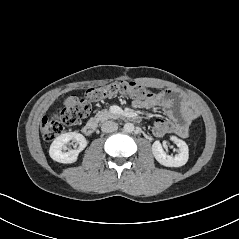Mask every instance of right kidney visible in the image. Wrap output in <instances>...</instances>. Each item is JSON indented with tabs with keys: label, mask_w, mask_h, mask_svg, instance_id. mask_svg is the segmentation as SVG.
Returning a JSON list of instances; mask_svg holds the SVG:
<instances>
[{
	"label": "right kidney",
	"mask_w": 239,
	"mask_h": 239,
	"mask_svg": "<svg viewBox=\"0 0 239 239\" xmlns=\"http://www.w3.org/2000/svg\"><path fill=\"white\" fill-rule=\"evenodd\" d=\"M71 140L75 141L79 145L78 149L63 152L62 150L67 149L66 144ZM86 146L87 141L82 134L76 132L64 133L52 142L49 149V155L54 161L59 163H74L78 158L79 152H81Z\"/></svg>",
	"instance_id": "ca27d5eb"
}]
</instances>
